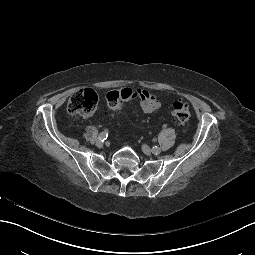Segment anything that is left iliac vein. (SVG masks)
<instances>
[{
  "label": "left iliac vein",
  "mask_w": 255,
  "mask_h": 255,
  "mask_svg": "<svg viewBox=\"0 0 255 255\" xmlns=\"http://www.w3.org/2000/svg\"><path fill=\"white\" fill-rule=\"evenodd\" d=\"M142 150L143 152L146 154V155H151L152 151L151 149L149 148V146H147L146 144L142 145ZM161 152V149L159 148L158 149V154H160Z\"/></svg>",
  "instance_id": "4c4485c4"
}]
</instances>
